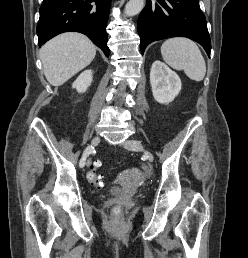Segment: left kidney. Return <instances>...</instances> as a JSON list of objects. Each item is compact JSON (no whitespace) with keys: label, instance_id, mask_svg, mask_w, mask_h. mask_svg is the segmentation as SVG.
<instances>
[{"label":"left kidney","instance_id":"obj_1","mask_svg":"<svg viewBox=\"0 0 248 258\" xmlns=\"http://www.w3.org/2000/svg\"><path fill=\"white\" fill-rule=\"evenodd\" d=\"M150 83L154 99L161 104L173 101L182 86L179 76L159 60L152 64Z\"/></svg>","mask_w":248,"mask_h":258}]
</instances>
